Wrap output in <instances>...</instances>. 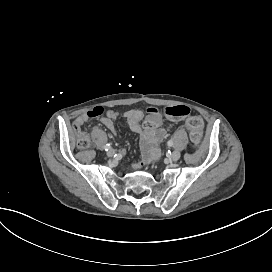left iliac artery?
Masks as SVG:
<instances>
[{
    "label": "left iliac artery",
    "instance_id": "1",
    "mask_svg": "<svg viewBox=\"0 0 272 272\" xmlns=\"http://www.w3.org/2000/svg\"><path fill=\"white\" fill-rule=\"evenodd\" d=\"M167 144H168V146H173V141L169 140Z\"/></svg>",
    "mask_w": 272,
    "mask_h": 272
}]
</instances>
